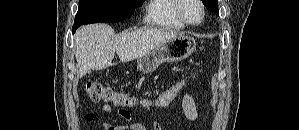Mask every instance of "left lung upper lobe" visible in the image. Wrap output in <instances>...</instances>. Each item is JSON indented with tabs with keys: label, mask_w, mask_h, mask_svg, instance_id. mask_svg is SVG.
I'll return each mask as SVG.
<instances>
[{
	"label": "left lung upper lobe",
	"mask_w": 299,
	"mask_h": 130,
	"mask_svg": "<svg viewBox=\"0 0 299 130\" xmlns=\"http://www.w3.org/2000/svg\"><path fill=\"white\" fill-rule=\"evenodd\" d=\"M203 4L208 10L218 14V1L217 0H202Z\"/></svg>",
	"instance_id": "5c2ea615"
}]
</instances>
